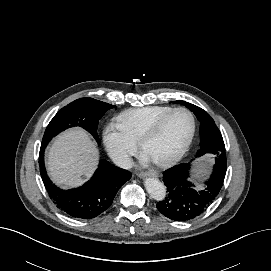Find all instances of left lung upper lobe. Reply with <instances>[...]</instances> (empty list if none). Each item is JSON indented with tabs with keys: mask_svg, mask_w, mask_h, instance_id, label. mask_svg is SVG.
<instances>
[{
	"mask_svg": "<svg viewBox=\"0 0 271 271\" xmlns=\"http://www.w3.org/2000/svg\"><path fill=\"white\" fill-rule=\"evenodd\" d=\"M190 109L200 121V150L197 156L213 154L215 156L214 168L226 170V152L222 135L214 120L202 108L185 101H173Z\"/></svg>",
	"mask_w": 271,
	"mask_h": 271,
	"instance_id": "obj_1",
	"label": "left lung upper lobe"
}]
</instances>
